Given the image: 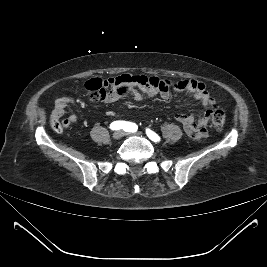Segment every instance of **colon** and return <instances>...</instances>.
<instances>
[{
  "label": "colon",
  "instance_id": "obj_1",
  "mask_svg": "<svg viewBox=\"0 0 267 267\" xmlns=\"http://www.w3.org/2000/svg\"><path fill=\"white\" fill-rule=\"evenodd\" d=\"M142 85L145 87L148 91H157L162 88L163 82L156 78V77H144L141 80ZM211 117H212V123L213 125L220 129L224 122H225V113L224 111L218 106L213 105L211 108ZM51 127L55 131H61L63 129V123H61L57 118L51 119Z\"/></svg>",
  "mask_w": 267,
  "mask_h": 267
}]
</instances>
